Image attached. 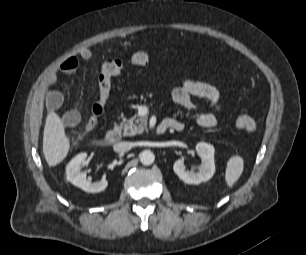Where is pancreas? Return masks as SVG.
<instances>
[{"instance_id": "cf45deb5", "label": "pancreas", "mask_w": 306, "mask_h": 255, "mask_svg": "<svg viewBox=\"0 0 306 255\" xmlns=\"http://www.w3.org/2000/svg\"><path fill=\"white\" fill-rule=\"evenodd\" d=\"M147 128V117H138L135 115L129 119L123 118L119 129L123 130L124 136H133L141 134Z\"/></svg>"}]
</instances>
